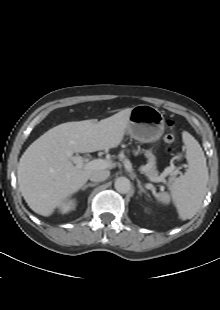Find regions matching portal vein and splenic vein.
<instances>
[{
  "label": "portal vein and splenic vein",
  "mask_w": 220,
  "mask_h": 310,
  "mask_svg": "<svg viewBox=\"0 0 220 310\" xmlns=\"http://www.w3.org/2000/svg\"><path fill=\"white\" fill-rule=\"evenodd\" d=\"M69 157H70V160L74 164H76V166L79 168L95 170V169H106L111 166V163L104 159H94L92 161H85L84 158H82L81 156H73V154H69ZM174 169H175L174 166L168 167L165 170V175L169 173H173L175 175L178 174V171H174ZM150 180L152 182H163L164 177L159 176L156 178H150Z\"/></svg>",
  "instance_id": "obj_1"
}]
</instances>
